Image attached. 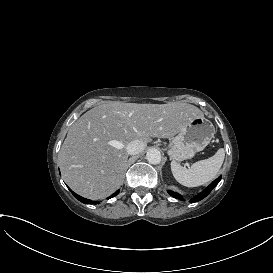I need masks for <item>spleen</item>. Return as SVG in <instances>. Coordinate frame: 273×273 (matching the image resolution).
Listing matches in <instances>:
<instances>
[{
    "label": "spleen",
    "mask_w": 273,
    "mask_h": 273,
    "mask_svg": "<svg viewBox=\"0 0 273 273\" xmlns=\"http://www.w3.org/2000/svg\"><path fill=\"white\" fill-rule=\"evenodd\" d=\"M225 157L223 148L208 159L194 163L190 169L182 167L175 161L171 162V170L175 179L187 187H197L215 178L221 168Z\"/></svg>",
    "instance_id": "obj_1"
}]
</instances>
